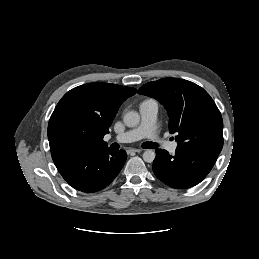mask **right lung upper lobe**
Wrapping results in <instances>:
<instances>
[{
    "mask_svg": "<svg viewBox=\"0 0 259 259\" xmlns=\"http://www.w3.org/2000/svg\"><path fill=\"white\" fill-rule=\"evenodd\" d=\"M136 92L135 88L102 82L68 91L48 124L52 159L106 149L104 135L109 133L120 105Z\"/></svg>",
    "mask_w": 259,
    "mask_h": 259,
    "instance_id": "right-lung-upper-lobe-1",
    "label": "right lung upper lobe"
}]
</instances>
